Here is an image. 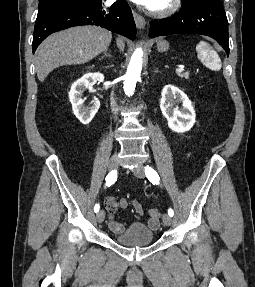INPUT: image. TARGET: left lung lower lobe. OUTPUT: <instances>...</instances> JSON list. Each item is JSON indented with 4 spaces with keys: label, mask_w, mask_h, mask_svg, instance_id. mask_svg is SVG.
Masks as SVG:
<instances>
[{
    "label": "left lung lower lobe",
    "mask_w": 255,
    "mask_h": 287,
    "mask_svg": "<svg viewBox=\"0 0 255 287\" xmlns=\"http://www.w3.org/2000/svg\"><path fill=\"white\" fill-rule=\"evenodd\" d=\"M178 14L150 22L149 36L194 33L214 38L229 55L228 21L220 0H184Z\"/></svg>",
    "instance_id": "0a47b994"
}]
</instances>
